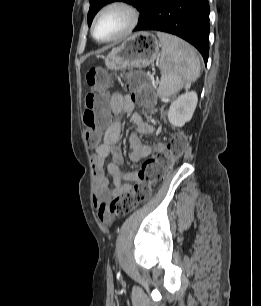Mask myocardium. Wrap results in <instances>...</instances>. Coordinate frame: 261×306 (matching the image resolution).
<instances>
[{
	"instance_id": "1",
	"label": "myocardium",
	"mask_w": 261,
	"mask_h": 306,
	"mask_svg": "<svg viewBox=\"0 0 261 306\" xmlns=\"http://www.w3.org/2000/svg\"><path fill=\"white\" fill-rule=\"evenodd\" d=\"M112 9H120V10L125 11L128 15V23L126 27L119 34L113 37L107 38V39H98L95 35L96 25L99 19L107 11L112 10ZM139 20H140V12L135 5H133L132 3L128 1H124V0H115V1L107 3L97 12V14L95 15L93 19L92 25H91V35L94 40L100 43L113 42V41L119 40L127 36L128 34H130L137 27Z\"/></svg>"
}]
</instances>
